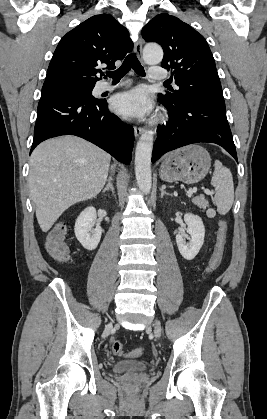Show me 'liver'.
Returning a JSON list of instances; mask_svg holds the SVG:
<instances>
[{
	"label": "liver",
	"instance_id": "1",
	"mask_svg": "<svg viewBox=\"0 0 267 419\" xmlns=\"http://www.w3.org/2000/svg\"><path fill=\"white\" fill-rule=\"evenodd\" d=\"M110 160L104 150L71 135L46 140L35 148L28 183L43 232H48L70 206L99 194Z\"/></svg>",
	"mask_w": 267,
	"mask_h": 419
}]
</instances>
